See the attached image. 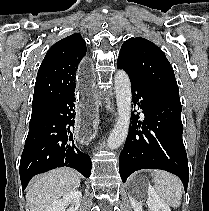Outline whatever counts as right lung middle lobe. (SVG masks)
I'll return each mask as SVG.
<instances>
[{
    "label": "right lung middle lobe",
    "instance_id": "1",
    "mask_svg": "<svg viewBox=\"0 0 209 211\" xmlns=\"http://www.w3.org/2000/svg\"><path fill=\"white\" fill-rule=\"evenodd\" d=\"M40 114L41 112H32L30 124L34 123L36 119L39 118Z\"/></svg>",
    "mask_w": 209,
    "mask_h": 211
}]
</instances>
